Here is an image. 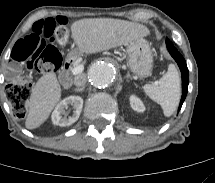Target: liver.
<instances>
[{
	"instance_id": "1",
	"label": "liver",
	"mask_w": 215,
	"mask_h": 183,
	"mask_svg": "<svg viewBox=\"0 0 215 183\" xmlns=\"http://www.w3.org/2000/svg\"><path fill=\"white\" fill-rule=\"evenodd\" d=\"M72 38L80 54H94L146 37L149 29L139 23L111 18L81 19L71 25ZM61 99V86L54 72L44 74L31 90L25 127L43 124Z\"/></svg>"
}]
</instances>
